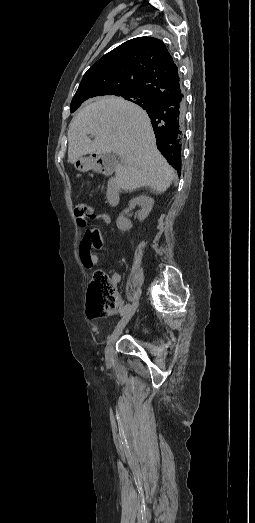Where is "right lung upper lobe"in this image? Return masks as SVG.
Instances as JSON below:
<instances>
[{
    "label": "right lung upper lobe",
    "instance_id": "obj_1",
    "mask_svg": "<svg viewBox=\"0 0 255 523\" xmlns=\"http://www.w3.org/2000/svg\"><path fill=\"white\" fill-rule=\"evenodd\" d=\"M178 67L165 44L156 38L139 37L131 39L100 58L84 75L71 107L92 102L128 91L145 92L152 100L150 107L143 101L136 102L148 113L154 132L155 123L152 111L160 103L178 98L180 100L177 118L180 135L183 139L184 98ZM158 149L175 169L181 167V150L167 155L164 146L157 143Z\"/></svg>",
    "mask_w": 255,
    "mask_h": 523
}]
</instances>
